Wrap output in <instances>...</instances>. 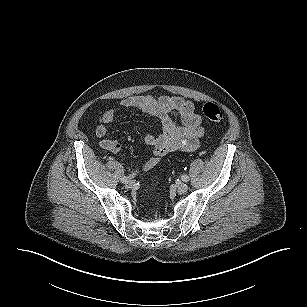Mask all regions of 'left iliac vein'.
Wrapping results in <instances>:
<instances>
[{"instance_id":"1","label":"left iliac vein","mask_w":307,"mask_h":307,"mask_svg":"<svg viewBox=\"0 0 307 307\" xmlns=\"http://www.w3.org/2000/svg\"><path fill=\"white\" fill-rule=\"evenodd\" d=\"M175 187L180 192H186L188 190V185L183 182L176 183Z\"/></svg>"}]
</instances>
